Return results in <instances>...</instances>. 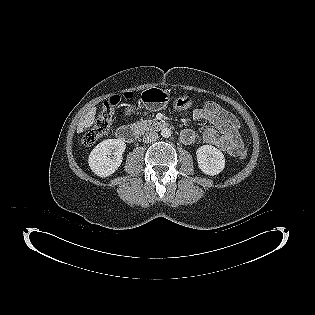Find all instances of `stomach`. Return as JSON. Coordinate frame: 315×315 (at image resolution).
<instances>
[{
    "label": "stomach",
    "instance_id": "obj_1",
    "mask_svg": "<svg viewBox=\"0 0 315 315\" xmlns=\"http://www.w3.org/2000/svg\"><path fill=\"white\" fill-rule=\"evenodd\" d=\"M143 105L151 111L163 109L170 101L169 94L160 88L146 89L141 94Z\"/></svg>",
    "mask_w": 315,
    "mask_h": 315
}]
</instances>
